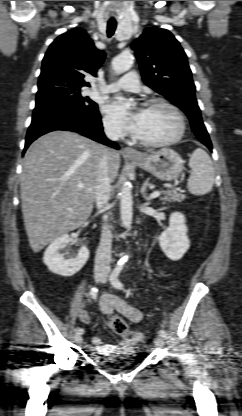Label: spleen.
Segmentation results:
<instances>
[{"mask_svg":"<svg viewBox=\"0 0 242 416\" xmlns=\"http://www.w3.org/2000/svg\"><path fill=\"white\" fill-rule=\"evenodd\" d=\"M189 167V192L194 195L209 193L214 184V167L209 155L203 149L197 148L190 157Z\"/></svg>","mask_w":242,"mask_h":416,"instance_id":"1","label":"spleen"}]
</instances>
